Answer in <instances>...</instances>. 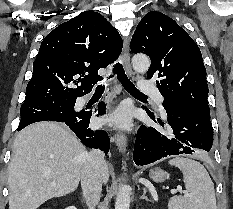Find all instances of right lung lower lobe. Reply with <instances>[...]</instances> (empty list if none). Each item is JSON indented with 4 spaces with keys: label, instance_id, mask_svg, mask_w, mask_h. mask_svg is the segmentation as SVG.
<instances>
[{
    "label": "right lung lower lobe",
    "instance_id": "98d812e1",
    "mask_svg": "<svg viewBox=\"0 0 233 209\" xmlns=\"http://www.w3.org/2000/svg\"><path fill=\"white\" fill-rule=\"evenodd\" d=\"M105 113V106L101 102L98 105V114L103 115ZM92 111H80L77 112L74 116L64 119L61 122L66 124L82 141V143L90 148H99L104 151L106 154L109 151L110 140L106 131L104 130H96L93 131L89 128L90 118L92 116ZM26 126H19L18 131L23 129Z\"/></svg>",
    "mask_w": 233,
    "mask_h": 209
}]
</instances>
